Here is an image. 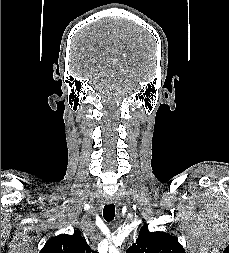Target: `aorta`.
<instances>
[{
	"mask_svg": "<svg viewBox=\"0 0 229 253\" xmlns=\"http://www.w3.org/2000/svg\"><path fill=\"white\" fill-rule=\"evenodd\" d=\"M109 253H119V251L117 249H111Z\"/></svg>",
	"mask_w": 229,
	"mask_h": 253,
	"instance_id": "aorta-1",
	"label": "aorta"
}]
</instances>
